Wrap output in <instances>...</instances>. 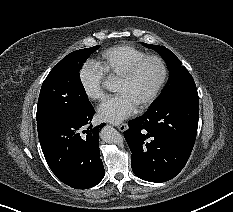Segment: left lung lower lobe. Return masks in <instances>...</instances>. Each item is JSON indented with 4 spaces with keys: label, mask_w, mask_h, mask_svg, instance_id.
Returning a JSON list of instances; mask_svg holds the SVG:
<instances>
[{
    "label": "left lung lower lobe",
    "mask_w": 233,
    "mask_h": 212,
    "mask_svg": "<svg viewBox=\"0 0 233 212\" xmlns=\"http://www.w3.org/2000/svg\"><path fill=\"white\" fill-rule=\"evenodd\" d=\"M199 120L196 97H174L152 103L124 132L132 152L134 174L146 181L165 182L185 166L193 149Z\"/></svg>",
    "instance_id": "0a47b994"
}]
</instances>
